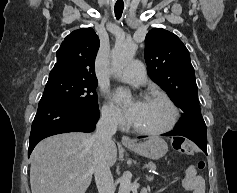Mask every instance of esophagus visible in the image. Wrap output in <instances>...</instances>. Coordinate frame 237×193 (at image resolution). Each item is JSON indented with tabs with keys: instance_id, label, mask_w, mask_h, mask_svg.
<instances>
[{
	"instance_id": "obj_1",
	"label": "esophagus",
	"mask_w": 237,
	"mask_h": 193,
	"mask_svg": "<svg viewBox=\"0 0 237 193\" xmlns=\"http://www.w3.org/2000/svg\"><path fill=\"white\" fill-rule=\"evenodd\" d=\"M121 142L123 145H134L135 144V142L130 137H128L126 135L122 136Z\"/></svg>"
}]
</instances>
